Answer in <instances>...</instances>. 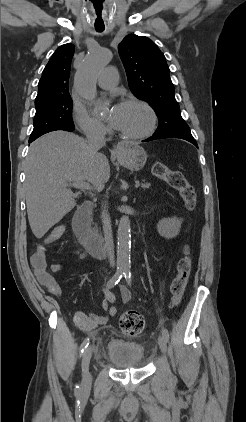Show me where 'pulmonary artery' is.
Wrapping results in <instances>:
<instances>
[{
  "mask_svg": "<svg viewBox=\"0 0 246 422\" xmlns=\"http://www.w3.org/2000/svg\"><path fill=\"white\" fill-rule=\"evenodd\" d=\"M117 81V71L113 67L103 69L97 78V84L103 89H111L115 87Z\"/></svg>",
  "mask_w": 246,
  "mask_h": 422,
  "instance_id": "pulmonary-artery-1",
  "label": "pulmonary artery"
}]
</instances>
